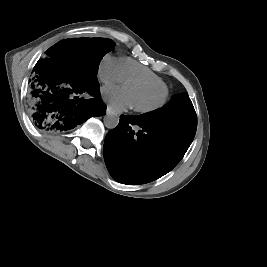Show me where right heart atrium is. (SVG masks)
<instances>
[{
	"label": "right heart atrium",
	"mask_w": 267,
	"mask_h": 267,
	"mask_svg": "<svg viewBox=\"0 0 267 267\" xmlns=\"http://www.w3.org/2000/svg\"><path fill=\"white\" fill-rule=\"evenodd\" d=\"M98 77L105 84L120 83L124 80L119 59L107 54L99 64Z\"/></svg>",
	"instance_id": "obj_1"
}]
</instances>
